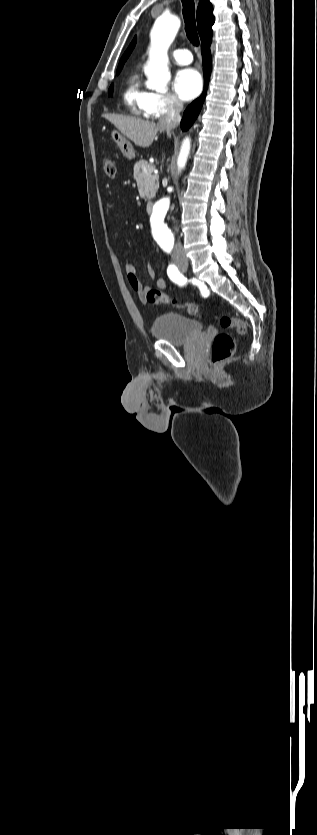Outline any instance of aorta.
<instances>
[{"label": "aorta", "instance_id": "1", "mask_svg": "<svg viewBox=\"0 0 317 835\" xmlns=\"http://www.w3.org/2000/svg\"><path fill=\"white\" fill-rule=\"evenodd\" d=\"M180 27V19L176 14H161L154 23L150 33L151 45L149 57L144 72L147 76L146 87L158 92H164L171 79L168 68V49L173 43ZM191 142L186 138L182 142L177 160L178 170H182L187 162ZM170 200L164 198L158 201L153 209L151 220L154 223L155 233L159 237L171 239V231L166 225V214L169 209Z\"/></svg>", "mask_w": 317, "mask_h": 835}]
</instances>
